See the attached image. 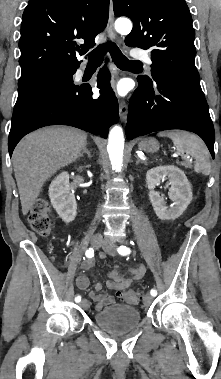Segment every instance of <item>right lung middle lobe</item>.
I'll use <instances>...</instances> for the list:
<instances>
[{
    "label": "right lung middle lobe",
    "mask_w": 221,
    "mask_h": 379,
    "mask_svg": "<svg viewBox=\"0 0 221 379\" xmlns=\"http://www.w3.org/2000/svg\"><path fill=\"white\" fill-rule=\"evenodd\" d=\"M76 69H55L47 71L18 83V98L13 115L22 110L38 91L46 88L55 80H72Z\"/></svg>",
    "instance_id": "dd1d6c3e"
}]
</instances>
